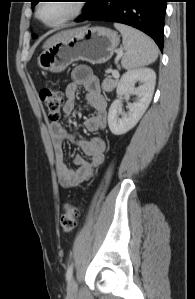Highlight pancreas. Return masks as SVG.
<instances>
[{
    "label": "pancreas",
    "instance_id": "obj_1",
    "mask_svg": "<svg viewBox=\"0 0 195 299\" xmlns=\"http://www.w3.org/2000/svg\"><path fill=\"white\" fill-rule=\"evenodd\" d=\"M117 83L118 78L112 79L111 77H107L102 83V89L106 92H110L117 86Z\"/></svg>",
    "mask_w": 195,
    "mask_h": 299
}]
</instances>
